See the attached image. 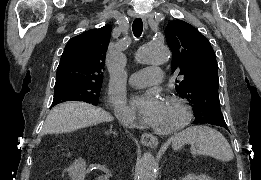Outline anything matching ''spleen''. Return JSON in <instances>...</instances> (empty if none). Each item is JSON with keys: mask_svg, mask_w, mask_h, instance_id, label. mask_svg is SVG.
<instances>
[{"mask_svg": "<svg viewBox=\"0 0 261 180\" xmlns=\"http://www.w3.org/2000/svg\"><path fill=\"white\" fill-rule=\"evenodd\" d=\"M180 144H190L194 156H211L220 162H230L234 154L226 138L208 126H191L176 136Z\"/></svg>", "mask_w": 261, "mask_h": 180, "instance_id": "1", "label": "spleen"}]
</instances>
